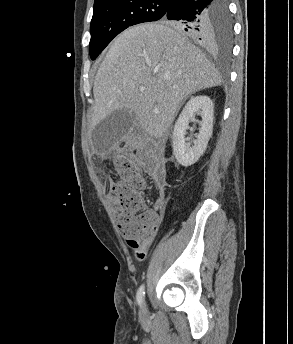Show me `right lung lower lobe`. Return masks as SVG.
I'll use <instances>...</instances> for the list:
<instances>
[{
  "instance_id": "98d812e1",
  "label": "right lung lower lobe",
  "mask_w": 293,
  "mask_h": 344,
  "mask_svg": "<svg viewBox=\"0 0 293 344\" xmlns=\"http://www.w3.org/2000/svg\"><path fill=\"white\" fill-rule=\"evenodd\" d=\"M217 1L171 0L163 20H174L178 29L186 31L198 44L209 47L213 45L210 23L218 5Z\"/></svg>"
}]
</instances>
